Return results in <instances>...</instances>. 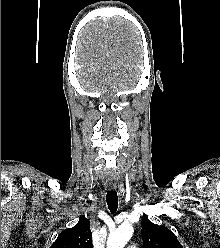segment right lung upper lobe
Returning a JSON list of instances; mask_svg holds the SVG:
<instances>
[{
	"label": "right lung upper lobe",
	"mask_w": 220,
	"mask_h": 248,
	"mask_svg": "<svg viewBox=\"0 0 220 248\" xmlns=\"http://www.w3.org/2000/svg\"><path fill=\"white\" fill-rule=\"evenodd\" d=\"M50 248H93L89 220L79 219L74 227L61 232Z\"/></svg>",
	"instance_id": "obj_1"
}]
</instances>
